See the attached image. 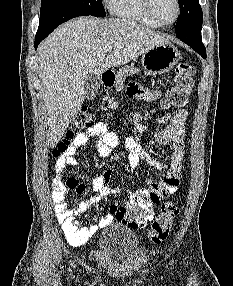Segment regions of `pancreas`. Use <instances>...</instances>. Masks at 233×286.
Listing matches in <instances>:
<instances>
[{"label": "pancreas", "mask_w": 233, "mask_h": 286, "mask_svg": "<svg viewBox=\"0 0 233 286\" xmlns=\"http://www.w3.org/2000/svg\"><path fill=\"white\" fill-rule=\"evenodd\" d=\"M140 72V69L134 67V66H125L121 69L116 74V82L115 86L118 91H120L123 88V83L126 79V77L134 74H138Z\"/></svg>", "instance_id": "1"}]
</instances>
